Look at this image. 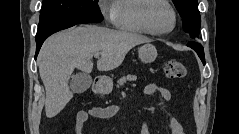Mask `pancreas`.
I'll use <instances>...</instances> for the list:
<instances>
[{"label": "pancreas", "mask_w": 239, "mask_h": 134, "mask_svg": "<svg viewBox=\"0 0 239 134\" xmlns=\"http://www.w3.org/2000/svg\"><path fill=\"white\" fill-rule=\"evenodd\" d=\"M137 77L134 75H127V76H123L122 78H120L117 83H118V87L124 85L127 81H136Z\"/></svg>", "instance_id": "obj_1"}]
</instances>
